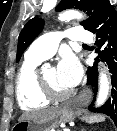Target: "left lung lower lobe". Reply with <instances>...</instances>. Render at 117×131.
<instances>
[{"label":"left lung lower lobe","mask_w":117,"mask_h":131,"mask_svg":"<svg viewBox=\"0 0 117 131\" xmlns=\"http://www.w3.org/2000/svg\"><path fill=\"white\" fill-rule=\"evenodd\" d=\"M96 35V44L99 57L104 60L110 73L112 74V91L111 97L98 109L93 108L95 97L89 110L101 112L110 116L117 126V12L114 7L107 3L102 10L96 26L91 31ZM100 49H102L100 51ZM98 58L96 60H98ZM87 85H93L94 96L97 93L98 78L96 65L89 67L87 70Z\"/></svg>","instance_id":"obj_1"}]
</instances>
